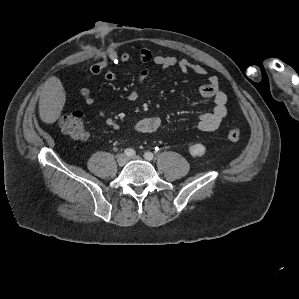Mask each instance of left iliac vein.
Here are the masks:
<instances>
[{"label": "left iliac vein", "mask_w": 299, "mask_h": 299, "mask_svg": "<svg viewBox=\"0 0 299 299\" xmlns=\"http://www.w3.org/2000/svg\"><path fill=\"white\" fill-rule=\"evenodd\" d=\"M130 159H134V160H140V159H141V157H139V156H134L133 158H130Z\"/></svg>", "instance_id": "obj_1"}]
</instances>
